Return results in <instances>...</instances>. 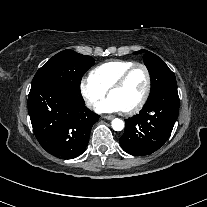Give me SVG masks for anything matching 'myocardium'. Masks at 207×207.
Listing matches in <instances>:
<instances>
[{
    "label": "myocardium",
    "instance_id": "obj_1",
    "mask_svg": "<svg viewBox=\"0 0 207 207\" xmlns=\"http://www.w3.org/2000/svg\"><path fill=\"white\" fill-rule=\"evenodd\" d=\"M137 68H141L146 76V88L144 91V94L142 96V98L140 99V101L135 104L133 107L127 109V110H123V113L126 115H132L135 114L137 112H139L144 105L146 104L150 93H151V88H152V78H151V74L150 71L148 69V67L143 64V63H134L132 66H130L128 69H126L115 81L114 83L110 86V88L108 89V93L110 95V93L120 87H122L124 85V83L126 82V80L128 79V77L130 76V74Z\"/></svg>",
    "mask_w": 207,
    "mask_h": 207
}]
</instances>
